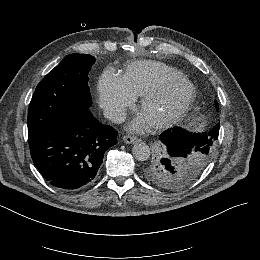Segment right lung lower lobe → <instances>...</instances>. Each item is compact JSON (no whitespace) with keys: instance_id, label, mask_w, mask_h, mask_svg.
Segmentation results:
<instances>
[{"instance_id":"obj_1","label":"right lung lower lobe","mask_w":260,"mask_h":260,"mask_svg":"<svg viewBox=\"0 0 260 260\" xmlns=\"http://www.w3.org/2000/svg\"><path fill=\"white\" fill-rule=\"evenodd\" d=\"M116 136L114 128L84 108L29 138V147L34 164L50 185L75 191L95 180L105 151L117 143Z\"/></svg>"}]
</instances>
